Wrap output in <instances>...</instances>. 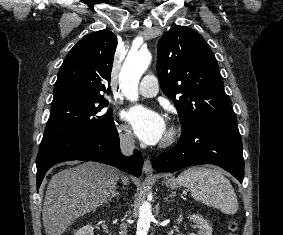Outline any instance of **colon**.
Returning a JSON list of instances; mask_svg holds the SVG:
<instances>
[{"instance_id": "5ec220e1", "label": "colon", "mask_w": 283, "mask_h": 235, "mask_svg": "<svg viewBox=\"0 0 283 235\" xmlns=\"http://www.w3.org/2000/svg\"><path fill=\"white\" fill-rule=\"evenodd\" d=\"M238 229V224L231 220L228 222V230H229V235H236Z\"/></svg>"}]
</instances>
